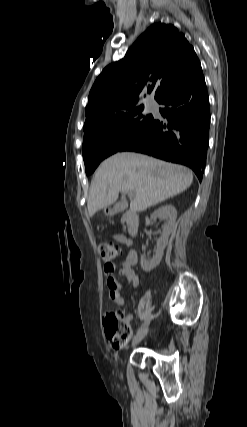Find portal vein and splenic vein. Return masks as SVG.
Wrapping results in <instances>:
<instances>
[{
	"label": "portal vein and splenic vein",
	"instance_id": "18ae733b",
	"mask_svg": "<svg viewBox=\"0 0 247 427\" xmlns=\"http://www.w3.org/2000/svg\"><path fill=\"white\" fill-rule=\"evenodd\" d=\"M128 195L131 197L132 196V194L131 193H128Z\"/></svg>",
	"mask_w": 247,
	"mask_h": 427
}]
</instances>
